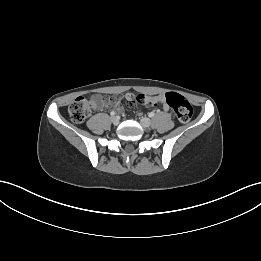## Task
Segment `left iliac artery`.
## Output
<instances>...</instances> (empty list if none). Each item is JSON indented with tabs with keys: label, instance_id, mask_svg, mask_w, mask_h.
Masks as SVG:
<instances>
[{
	"label": "left iliac artery",
	"instance_id": "1",
	"mask_svg": "<svg viewBox=\"0 0 261 261\" xmlns=\"http://www.w3.org/2000/svg\"><path fill=\"white\" fill-rule=\"evenodd\" d=\"M154 115H155L154 112L149 113V117H153Z\"/></svg>",
	"mask_w": 261,
	"mask_h": 261
}]
</instances>
